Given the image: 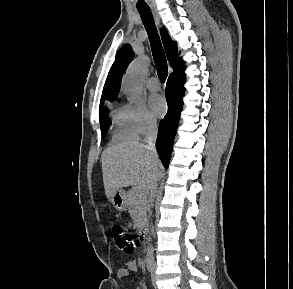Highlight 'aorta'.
Returning <instances> with one entry per match:
<instances>
[{
    "mask_svg": "<svg viewBox=\"0 0 293 289\" xmlns=\"http://www.w3.org/2000/svg\"><path fill=\"white\" fill-rule=\"evenodd\" d=\"M148 68L146 58L138 59L131 63L122 79V86L129 95L130 102H136L142 95V83L145 72ZM153 249L148 247V253L152 254Z\"/></svg>",
    "mask_w": 293,
    "mask_h": 289,
    "instance_id": "762f6f07",
    "label": "aorta"
}]
</instances>
